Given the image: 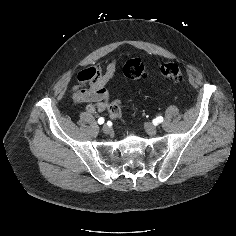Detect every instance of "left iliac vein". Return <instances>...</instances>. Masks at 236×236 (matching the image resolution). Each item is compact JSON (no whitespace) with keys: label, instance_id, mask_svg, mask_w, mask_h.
I'll return each mask as SVG.
<instances>
[{"label":"left iliac vein","instance_id":"4c4485c4","mask_svg":"<svg viewBox=\"0 0 236 236\" xmlns=\"http://www.w3.org/2000/svg\"><path fill=\"white\" fill-rule=\"evenodd\" d=\"M144 128L149 135H155L158 132L157 127L148 122L144 124Z\"/></svg>","mask_w":236,"mask_h":236}]
</instances>
